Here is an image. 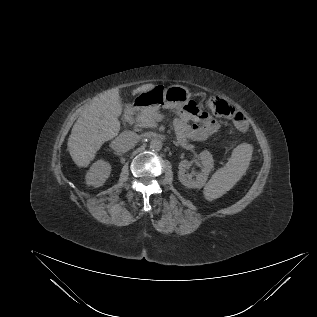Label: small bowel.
Instances as JSON below:
<instances>
[{
    "instance_id": "small-bowel-1",
    "label": "small bowel",
    "mask_w": 317,
    "mask_h": 317,
    "mask_svg": "<svg viewBox=\"0 0 317 317\" xmlns=\"http://www.w3.org/2000/svg\"><path fill=\"white\" fill-rule=\"evenodd\" d=\"M188 113H180L174 120V130L180 140L201 141L217 132L218 123L207 114H200L198 121H192ZM247 127L239 129L245 131Z\"/></svg>"
}]
</instances>
